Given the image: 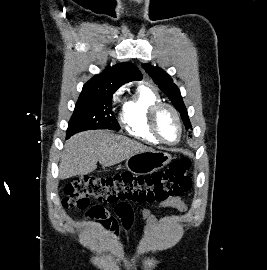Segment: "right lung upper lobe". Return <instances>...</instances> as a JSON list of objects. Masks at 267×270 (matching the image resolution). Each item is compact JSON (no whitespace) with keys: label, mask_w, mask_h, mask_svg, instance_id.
I'll use <instances>...</instances> for the list:
<instances>
[{"label":"right lung upper lobe","mask_w":267,"mask_h":270,"mask_svg":"<svg viewBox=\"0 0 267 270\" xmlns=\"http://www.w3.org/2000/svg\"><path fill=\"white\" fill-rule=\"evenodd\" d=\"M142 74L132 63L123 62L115 66L108 67L99 75L94 76L83 86V90L89 89H115L123 84L140 80Z\"/></svg>","instance_id":"right-lung-upper-lobe-1"}]
</instances>
